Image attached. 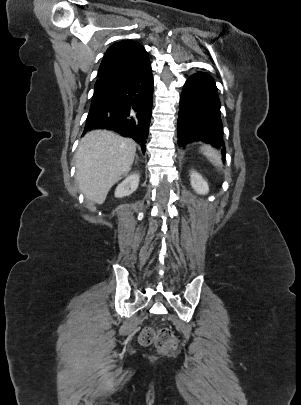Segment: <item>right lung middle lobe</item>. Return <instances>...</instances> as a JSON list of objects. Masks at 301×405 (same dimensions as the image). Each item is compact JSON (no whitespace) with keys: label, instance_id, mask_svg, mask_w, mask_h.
Returning a JSON list of instances; mask_svg holds the SVG:
<instances>
[{"label":"right lung middle lobe","instance_id":"1","mask_svg":"<svg viewBox=\"0 0 301 405\" xmlns=\"http://www.w3.org/2000/svg\"><path fill=\"white\" fill-rule=\"evenodd\" d=\"M107 94H94L93 98H92V102L91 105L96 104L97 102H99L100 100H102Z\"/></svg>","mask_w":301,"mask_h":405}]
</instances>
